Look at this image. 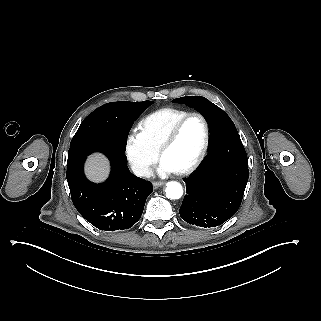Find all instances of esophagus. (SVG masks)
I'll use <instances>...</instances> for the list:
<instances>
[{"mask_svg":"<svg viewBox=\"0 0 321 321\" xmlns=\"http://www.w3.org/2000/svg\"><path fill=\"white\" fill-rule=\"evenodd\" d=\"M164 184H165L164 181H156V182L153 183V185H154L155 187H159V186H162V185H164Z\"/></svg>","mask_w":321,"mask_h":321,"instance_id":"34e87169","label":"esophagus"}]
</instances>
